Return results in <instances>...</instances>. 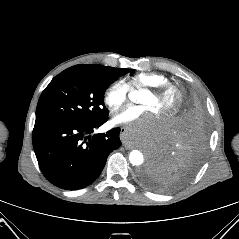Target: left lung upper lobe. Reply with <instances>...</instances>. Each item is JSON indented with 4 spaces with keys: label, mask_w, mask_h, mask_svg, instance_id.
<instances>
[{
    "label": "left lung upper lobe",
    "mask_w": 239,
    "mask_h": 239,
    "mask_svg": "<svg viewBox=\"0 0 239 239\" xmlns=\"http://www.w3.org/2000/svg\"><path fill=\"white\" fill-rule=\"evenodd\" d=\"M192 95H196V94H192ZM142 178H143V181L151 188H154L157 190H164L163 183L156 175H153L150 173H144Z\"/></svg>",
    "instance_id": "obj_1"
}]
</instances>
